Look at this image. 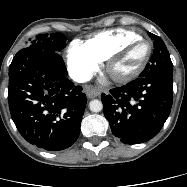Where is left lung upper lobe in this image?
<instances>
[{
	"label": "left lung upper lobe",
	"instance_id": "5c2ea615",
	"mask_svg": "<svg viewBox=\"0 0 187 187\" xmlns=\"http://www.w3.org/2000/svg\"><path fill=\"white\" fill-rule=\"evenodd\" d=\"M148 34L154 41V51L150 59V63H148L144 71L140 74L139 78L162 73H172L173 64L163 40L150 32Z\"/></svg>",
	"mask_w": 187,
	"mask_h": 187
}]
</instances>
